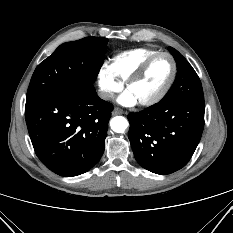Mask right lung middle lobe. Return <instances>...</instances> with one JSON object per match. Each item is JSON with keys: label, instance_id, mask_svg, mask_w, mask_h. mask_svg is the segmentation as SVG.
Returning a JSON list of instances; mask_svg holds the SVG:
<instances>
[{"label": "right lung middle lobe", "instance_id": "dd1d6c3e", "mask_svg": "<svg viewBox=\"0 0 233 233\" xmlns=\"http://www.w3.org/2000/svg\"><path fill=\"white\" fill-rule=\"evenodd\" d=\"M108 40L87 37L60 45L40 63L31 78L26 102L94 83Z\"/></svg>", "mask_w": 233, "mask_h": 233}]
</instances>
